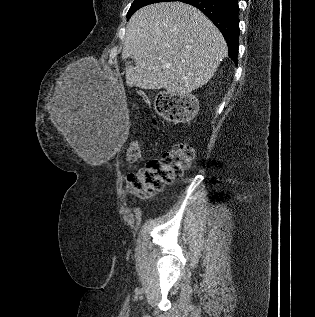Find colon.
Returning a JSON list of instances; mask_svg holds the SVG:
<instances>
[{"mask_svg":"<svg viewBox=\"0 0 315 317\" xmlns=\"http://www.w3.org/2000/svg\"><path fill=\"white\" fill-rule=\"evenodd\" d=\"M156 108L163 118L180 121L188 120L194 115L196 103L190 96L163 93L156 99ZM127 157L132 162L140 158L138 142H133L129 146ZM193 158L194 150L187 141L174 145L160 159L150 160L137 171L129 174V192L139 197H145L161 191L166 184L183 174Z\"/></svg>","mask_w":315,"mask_h":317,"instance_id":"5ec220e1","label":"colon"}]
</instances>
